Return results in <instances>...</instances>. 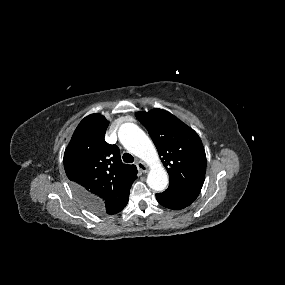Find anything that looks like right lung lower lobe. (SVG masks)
I'll return each mask as SVG.
<instances>
[{"label":"right lung lower lobe","instance_id":"obj_1","mask_svg":"<svg viewBox=\"0 0 285 285\" xmlns=\"http://www.w3.org/2000/svg\"><path fill=\"white\" fill-rule=\"evenodd\" d=\"M127 203H128V201L126 202V204H127ZM126 204L122 207V209L126 206ZM122 209H121V210H122Z\"/></svg>","mask_w":285,"mask_h":285}]
</instances>
